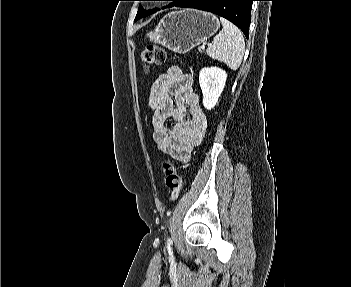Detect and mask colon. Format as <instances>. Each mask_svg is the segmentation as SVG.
I'll return each instance as SVG.
<instances>
[{"instance_id":"obj_1","label":"colon","mask_w":351,"mask_h":287,"mask_svg":"<svg viewBox=\"0 0 351 287\" xmlns=\"http://www.w3.org/2000/svg\"><path fill=\"white\" fill-rule=\"evenodd\" d=\"M141 60L146 68L160 66L167 61V54L161 47L149 45L141 52ZM163 170L165 183L169 191V200L175 201L178 199L182 189V179L175 166L169 161L163 163Z\"/></svg>"}]
</instances>
